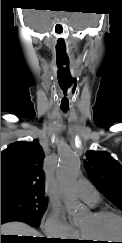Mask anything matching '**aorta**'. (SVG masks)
Returning <instances> with one entry per match:
<instances>
[{
    "instance_id": "obj_1",
    "label": "aorta",
    "mask_w": 122,
    "mask_h": 243,
    "mask_svg": "<svg viewBox=\"0 0 122 243\" xmlns=\"http://www.w3.org/2000/svg\"><path fill=\"white\" fill-rule=\"evenodd\" d=\"M80 175V160L72 152L63 154L56 169V178L63 189V199L68 214L75 217L80 209V203L72 188Z\"/></svg>"
}]
</instances>
